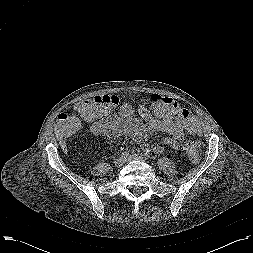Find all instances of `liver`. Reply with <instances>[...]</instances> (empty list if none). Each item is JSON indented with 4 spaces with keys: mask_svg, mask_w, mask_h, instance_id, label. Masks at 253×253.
Masks as SVG:
<instances>
[{
    "mask_svg": "<svg viewBox=\"0 0 253 253\" xmlns=\"http://www.w3.org/2000/svg\"><path fill=\"white\" fill-rule=\"evenodd\" d=\"M55 134H56L57 139H58L59 141H61V140H62V135L59 133L58 130H55Z\"/></svg>",
    "mask_w": 253,
    "mask_h": 253,
    "instance_id": "6515ba94",
    "label": "liver"
}]
</instances>
